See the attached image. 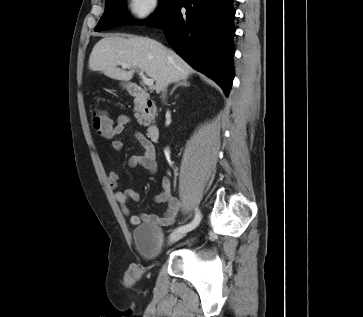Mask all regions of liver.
<instances>
[{"mask_svg":"<svg viewBox=\"0 0 363 317\" xmlns=\"http://www.w3.org/2000/svg\"><path fill=\"white\" fill-rule=\"evenodd\" d=\"M120 63L128 64L130 70L118 68ZM136 68L155 81L156 93L169 83L187 79L194 72L173 50L146 37L106 36L95 44L89 57L91 71H101L116 80H131Z\"/></svg>","mask_w":363,"mask_h":317,"instance_id":"liver-1","label":"liver"}]
</instances>
